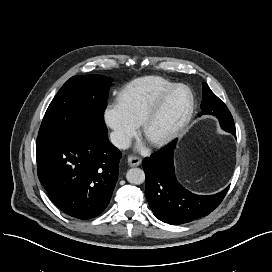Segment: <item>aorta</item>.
<instances>
[{
    "label": "aorta",
    "mask_w": 272,
    "mask_h": 272,
    "mask_svg": "<svg viewBox=\"0 0 272 272\" xmlns=\"http://www.w3.org/2000/svg\"><path fill=\"white\" fill-rule=\"evenodd\" d=\"M126 179L131 184L139 185L145 181V173L140 168H131L126 173Z\"/></svg>",
    "instance_id": "762f6f07"
}]
</instances>
